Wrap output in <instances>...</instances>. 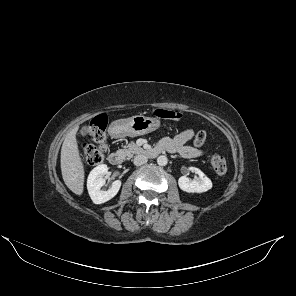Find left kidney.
Returning <instances> with one entry per match:
<instances>
[{"instance_id": "left-kidney-1", "label": "left kidney", "mask_w": 296, "mask_h": 296, "mask_svg": "<svg viewBox=\"0 0 296 296\" xmlns=\"http://www.w3.org/2000/svg\"><path fill=\"white\" fill-rule=\"evenodd\" d=\"M189 170L195 171L199 175V180H189L186 176H181L178 185L181 190L188 193H203L212 188L211 180L198 168L190 167Z\"/></svg>"}]
</instances>
